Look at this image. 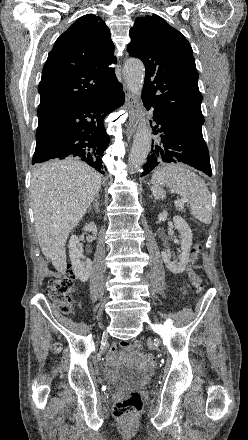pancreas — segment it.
Instances as JSON below:
<instances>
[{"instance_id":"obj_1","label":"pancreas","mask_w":248,"mask_h":440,"mask_svg":"<svg viewBox=\"0 0 248 440\" xmlns=\"http://www.w3.org/2000/svg\"><path fill=\"white\" fill-rule=\"evenodd\" d=\"M176 208H177V210H179V211H181V212H184V211H185V209H184L183 206H178V205H176Z\"/></svg>"}]
</instances>
